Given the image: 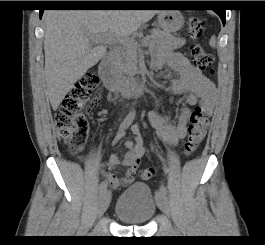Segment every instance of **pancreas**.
<instances>
[{"label":"pancreas","mask_w":265,"mask_h":245,"mask_svg":"<svg viewBox=\"0 0 265 245\" xmlns=\"http://www.w3.org/2000/svg\"><path fill=\"white\" fill-rule=\"evenodd\" d=\"M147 46L162 51H172L181 48L185 44V39L176 38L160 29H153L151 35L147 36ZM122 71L130 76L137 72V44L128 43L125 47L124 61L121 64Z\"/></svg>","instance_id":"1"}]
</instances>
